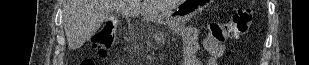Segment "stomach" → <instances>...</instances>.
Here are the masks:
<instances>
[{"label":"stomach","instance_id":"0dacf381","mask_svg":"<svg viewBox=\"0 0 309 65\" xmlns=\"http://www.w3.org/2000/svg\"><path fill=\"white\" fill-rule=\"evenodd\" d=\"M210 3L211 0H181L175 7L159 14L150 15L146 17V20L157 24L182 26Z\"/></svg>","mask_w":309,"mask_h":65}]
</instances>
